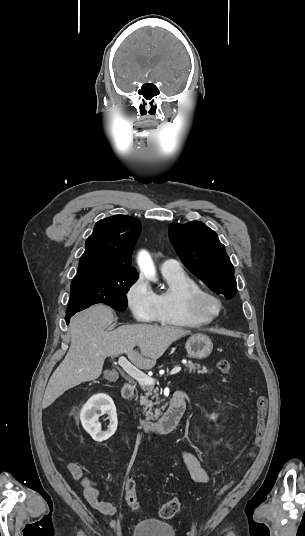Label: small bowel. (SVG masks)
Segmentation results:
<instances>
[{"mask_svg":"<svg viewBox=\"0 0 305 536\" xmlns=\"http://www.w3.org/2000/svg\"><path fill=\"white\" fill-rule=\"evenodd\" d=\"M181 458L187 469L188 476L193 483L205 484L209 482L208 474L202 468L200 462L193 453L187 450H182ZM67 471L73 479L78 482L83 491L84 498L93 509L106 516L116 515V506L100 495L99 484L92 478L84 475L81 467L77 463H68ZM121 520L122 515L118 514L116 518L110 522V526L116 527Z\"/></svg>","mask_w":305,"mask_h":536,"instance_id":"obj_1","label":"small bowel"}]
</instances>
